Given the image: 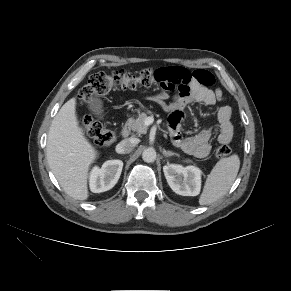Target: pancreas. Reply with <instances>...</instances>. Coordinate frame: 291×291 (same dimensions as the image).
<instances>
[{
	"label": "pancreas",
	"instance_id": "obj_1",
	"mask_svg": "<svg viewBox=\"0 0 291 291\" xmlns=\"http://www.w3.org/2000/svg\"><path fill=\"white\" fill-rule=\"evenodd\" d=\"M147 119L146 113L139 114L138 118L133 120L130 127L137 134H144L147 132L148 127L145 125V120Z\"/></svg>",
	"mask_w": 291,
	"mask_h": 291
}]
</instances>
